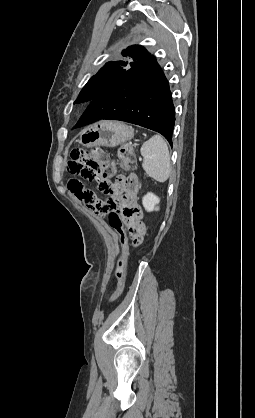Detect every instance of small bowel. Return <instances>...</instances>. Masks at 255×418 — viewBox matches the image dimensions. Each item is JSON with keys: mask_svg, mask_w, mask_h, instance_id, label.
Segmentation results:
<instances>
[{"mask_svg": "<svg viewBox=\"0 0 255 418\" xmlns=\"http://www.w3.org/2000/svg\"><path fill=\"white\" fill-rule=\"evenodd\" d=\"M114 193L122 197L123 208L125 211L137 204V196L139 192V181L135 174L128 177H120L113 187ZM124 234H128L132 240L131 246L139 249L143 237H146V228H126Z\"/></svg>", "mask_w": 255, "mask_h": 418, "instance_id": "c3829d8e", "label": "small bowel"}]
</instances>
